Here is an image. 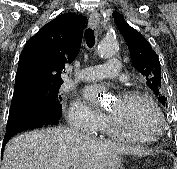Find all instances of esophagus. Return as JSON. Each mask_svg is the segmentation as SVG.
I'll list each match as a JSON object with an SVG mask.
<instances>
[{"mask_svg":"<svg viewBox=\"0 0 177 169\" xmlns=\"http://www.w3.org/2000/svg\"><path fill=\"white\" fill-rule=\"evenodd\" d=\"M99 22H100L99 13L97 11L92 12L88 19L89 27L96 29L99 26Z\"/></svg>","mask_w":177,"mask_h":169,"instance_id":"esophagus-1","label":"esophagus"}]
</instances>
